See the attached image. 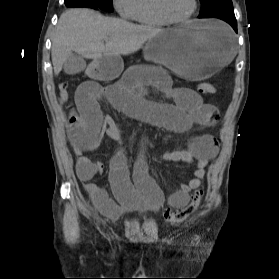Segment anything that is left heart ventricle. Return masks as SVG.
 <instances>
[{
  "label": "left heart ventricle",
  "mask_w": 279,
  "mask_h": 279,
  "mask_svg": "<svg viewBox=\"0 0 279 279\" xmlns=\"http://www.w3.org/2000/svg\"><path fill=\"white\" fill-rule=\"evenodd\" d=\"M167 11L175 18L186 16L193 7V0H165Z\"/></svg>",
  "instance_id": "b2bd125f"
}]
</instances>
